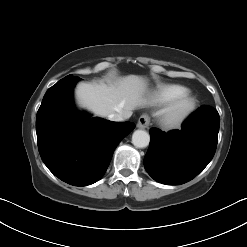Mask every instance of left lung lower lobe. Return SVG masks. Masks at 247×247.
<instances>
[{"instance_id":"0a47b994","label":"left lung lower lobe","mask_w":247,"mask_h":247,"mask_svg":"<svg viewBox=\"0 0 247 247\" xmlns=\"http://www.w3.org/2000/svg\"><path fill=\"white\" fill-rule=\"evenodd\" d=\"M219 114L204 105L191 114L181 130L150 129L144 157L147 173L166 185L184 184L196 177L212 160L217 146Z\"/></svg>"}]
</instances>
